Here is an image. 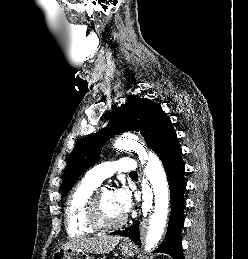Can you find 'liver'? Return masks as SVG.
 <instances>
[{
  "label": "liver",
  "mask_w": 248,
  "mask_h": 259,
  "mask_svg": "<svg viewBox=\"0 0 248 259\" xmlns=\"http://www.w3.org/2000/svg\"><path fill=\"white\" fill-rule=\"evenodd\" d=\"M120 236H95L88 238H77L66 243L62 249L72 248L76 251L91 254H107L119 243Z\"/></svg>",
  "instance_id": "6515ba94"
}]
</instances>
